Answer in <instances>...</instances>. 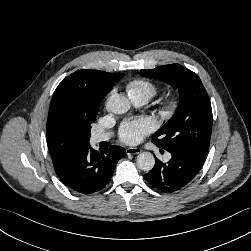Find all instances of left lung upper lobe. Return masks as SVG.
<instances>
[{
  "label": "left lung upper lobe",
  "instance_id": "1",
  "mask_svg": "<svg viewBox=\"0 0 251 251\" xmlns=\"http://www.w3.org/2000/svg\"><path fill=\"white\" fill-rule=\"evenodd\" d=\"M177 88L180 103L173 117L155 133L152 142L167 151L188 149L206 157L212 131L211 103L199 76L179 64L141 70Z\"/></svg>",
  "mask_w": 251,
  "mask_h": 251
}]
</instances>
